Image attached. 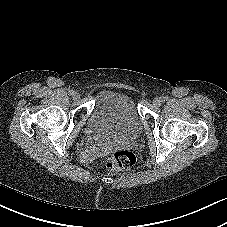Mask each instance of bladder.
I'll return each mask as SVG.
<instances>
[{"label":"bladder","instance_id":"1","mask_svg":"<svg viewBox=\"0 0 227 227\" xmlns=\"http://www.w3.org/2000/svg\"><path fill=\"white\" fill-rule=\"evenodd\" d=\"M89 123L96 138L104 143L134 141L143 127L132 99L115 91L101 94Z\"/></svg>","mask_w":227,"mask_h":227}]
</instances>
